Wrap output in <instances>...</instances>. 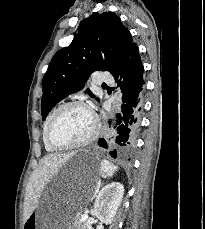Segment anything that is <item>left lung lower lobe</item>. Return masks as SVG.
<instances>
[{
    "label": "left lung lower lobe",
    "instance_id": "1",
    "mask_svg": "<svg viewBox=\"0 0 205 229\" xmlns=\"http://www.w3.org/2000/svg\"><path fill=\"white\" fill-rule=\"evenodd\" d=\"M144 67L142 65L138 47L135 43L124 52L116 70L112 73L118 86L121 87L123 97L122 114H118L116 148L110 152L114 158L126 157L134 149L140 128L143 110ZM99 145L106 147L104 139ZM130 160V159H129Z\"/></svg>",
    "mask_w": 205,
    "mask_h": 229
}]
</instances>
